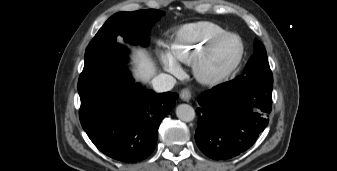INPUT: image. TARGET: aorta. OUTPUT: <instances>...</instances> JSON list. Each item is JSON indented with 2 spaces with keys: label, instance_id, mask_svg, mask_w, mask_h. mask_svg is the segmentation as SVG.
<instances>
[{
  "label": "aorta",
  "instance_id": "1",
  "mask_svg": "<svg viewBox=\"0 0 337 171\" xmlns=\"http://www.w3.org/2000/svg\"><path fill=\"white\" fill-rule=\"evenodd\" d=\"M177 117L184 122H190L195 118V110L188 104H180L176 108Z\"/></svg>",
  "mask_w": 337,
  "mask_h": 171
}]
</instances>
